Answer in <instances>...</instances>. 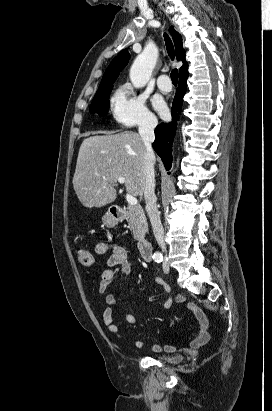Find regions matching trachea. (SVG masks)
Listing matches in <instances>:
<instances>
[{
  "label": "trachea",
  "instance_id": "1",
  "mask_svg": "<svg viewBox=\"0 0 272 411\" xmlns=\"http://www.w3.org/2000/svg\"><path fill=\"white\" fill-rule=\"evenodd\" d=\"M164 40H165V44H166V47H167L168 55H169L170 58L173 60V59H174V47H173V43H172L170 37H169L166 33L164 34ZM170 77H171L172 83H173L174 85H177V83H178V70H177V69H173L172 72H171Z\"/></svg>",
  "mask_w": 272,
  "mask_h": 411
}]
</instances>
